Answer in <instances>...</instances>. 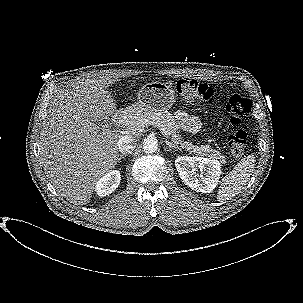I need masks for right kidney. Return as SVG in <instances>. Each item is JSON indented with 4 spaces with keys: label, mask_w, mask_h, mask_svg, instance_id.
Instances as JSON below:
<instances>
[{
    "label": "right kidney",
    "mask_w": 303,
    "mask_h": 303,
    "mask_svg": "<svg viewBox=\"0 0 303 303\" xmlns=\"http://www.w3.org/2000/svg\"><path fill=\"white\" fill-rule=\"evenodd\" d=\"M120 180L121 175L118 170L110 171L99 179L95 186V191L100 197L109 195L119 186Z\"/></svg>",
    "instance_id": "1"
}]
</instances>
